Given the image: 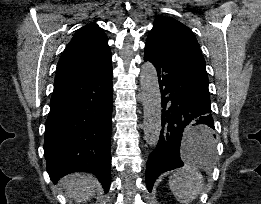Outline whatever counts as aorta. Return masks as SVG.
<instances>
[{"mask_svg":"<svg viewBox=\"0 0 261 204\" xmlns=\"http://www.w3.org/2000/svg\"><path fill=\"white\" fill-rule=\"evenodd\" d=\"M140 85L144 108V137L154 146L158 143L161 131V93L157 71L151 62L141 67Z\"/></svg>","mask_w":261,"mask_h":204,"instance_id":"1","label":"aorta"}]
</instances>
